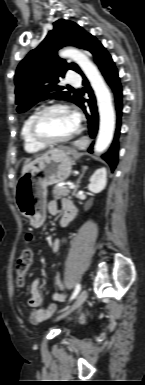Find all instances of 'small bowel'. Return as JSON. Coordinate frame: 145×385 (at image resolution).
I'll return each instance as SVG.
<instances>
[{
    "mask_svg": "<svg viewBox=\"0 0 145 385\" xmlns=\"http://www.w3.org/2000/svg\"><path fill=\"white\" fill-rule=\"evenodd\" d=\"M48 212L51 215H58L61 211L63 215L67 210H71L73 213V218L76 215V207L69 199H63L61 202L51 201L48 204ZM60 248V241L58 238H55L52 243L53 252H57ZM57 285L60 288H64V283L62 279L56 277ZM44 290L47 292V289L43 287L42 278H37L33 281L30 286V297L28 299V311H29V320L33 324L41 323L45 321L49 315L55 310V304H51L47 308H40L42 303V294L41 291ZM52 298L55 302H64L66 296L63 293H54ZM87 320V315L83 314L79 317L80 323H85Z\"/></svg>",
    "mask_w": 145,
    "mask_h": 385,
    "instance_id": "small-bowel-1",
    "label": "small bowel"
}]
</instances>
